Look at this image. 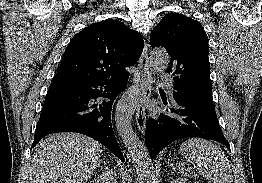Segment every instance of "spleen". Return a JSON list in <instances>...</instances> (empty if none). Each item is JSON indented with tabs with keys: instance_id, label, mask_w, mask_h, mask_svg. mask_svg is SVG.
Masks as SVG:
<instances>
[{
	"instance_id": "1",
	"label": "spleen",
	"mask_w": 262,
	"mask_h": 183,
	"mask_svg": "<svg viewBox=\"0 0 262 183\" xmlns=\"http://www.w3.org/2000/svg\"><path fill=\"white\" fill-rule=\"evenodd\" d=\"M180 153L207 180L213 183L233 182L229 160L213 142L191 138L181 144Z\"/></svg>"
}]
</instances>
